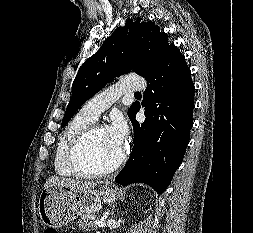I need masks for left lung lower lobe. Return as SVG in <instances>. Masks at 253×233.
Here are the masks:
<instances>
[{"mask_svg":"<svg viewBox=\"0 0 253 233\" xmlns=\"http://www.w3.org/2000/svg\"><path fill=\"white\" fill-rule=\"evenodd\" d=\"M144 78L147 88L142 107L146 120L141 125L135 120L140 110V104L135 103L130 116L134 147L115 181L121 185L142 182L161 194L181 164L189 142L194 85L185 57L174 44Z\"/></svg>","mask_w":253,"mask_h":233,"instance_id":"obj_1","label":"left lung lower lobe"}]
</instances>
